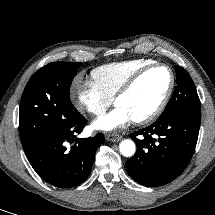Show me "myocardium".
Segmentation results:
<instances>
[{
    "instance_id": "obj_1",
    "label": "myocardium",
    "mask_w": 215,
    "mask_h": 215,
    "mask_svg": "<svg viewBox=\"0 0 215 215\" xmlns=\"http://www.w3.org/2000/svg\"><path fill=\"white\" fill-rule=\"evenodd\" d=\"M159 67L166 68L170 74V83H169L168 89H167L165 95L163 96L162 100L160 101V103L157 105V107L152 112H150L148 115H146L144 117L134 119V121L137 124H141V125L149 124V123L153 122L154 120H156L165 110V108L173 94L174 88H175L176 79H175V74H174L173 69L167 64L154 62V63L140 69L135 74H133L124 83V85L118 90V92L114 96V103H116L118 99H120L121 97L128 94L134 88V86L137 84V82L145 74H147L149 71H151L155 68H159Z\"/></svg>"
}]
</instances>
